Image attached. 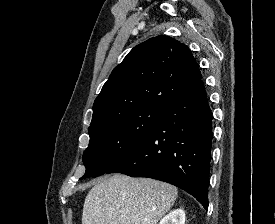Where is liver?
<instances>
[{
    "mask_svg": "<svg viewBox=\"0 0 275 224\" xmlns=\"http://www.w3.org/2000/svg\"><path fill=\"white\" fill-rule=\"evenodd\" d=\"M177 194V188L165 182L114 174L88 192L82 224H157Z\"/></svg>",
    "mask_w": 275,
    "mask_h": 224,
    "instance_id": "liver-1",
    "label": "liver"
}]
</instances>
